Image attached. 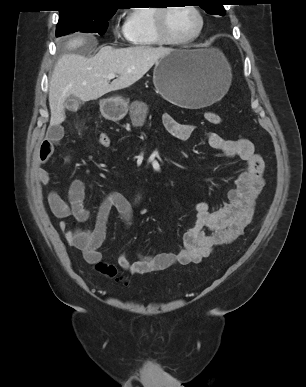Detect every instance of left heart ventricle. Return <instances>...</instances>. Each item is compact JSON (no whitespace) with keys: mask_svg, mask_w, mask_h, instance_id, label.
<instances>
[{"mask_svg":"<svg viewBox=\"0 0 306 387\" xmlns=\"http://www.w3.org/2000/svg\"><path fill=\"white\" fill-rule=\"evenodd\" d=\"M166 26L171 37L185 39L196 31L198 18L188 6L172 7L167 14Z\"/></svg>","mask_w":306,"mask_h":387,"instance_id":"1","label":"left heart ventricle"}]
</instances>
